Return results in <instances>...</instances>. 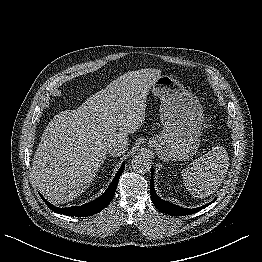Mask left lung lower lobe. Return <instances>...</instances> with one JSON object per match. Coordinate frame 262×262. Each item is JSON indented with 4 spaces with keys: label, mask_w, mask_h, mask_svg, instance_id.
Returning <instances> with one entry per match:
<instances>
[{
    "label": "left lung lower lobe",
    "mask_w": 262,
    "mask_h": 262,
    "mask_svg": "<svg viewBox=\"0 0 262 262\" xmlns=\"http://www.w3.org/2000/svg\"><path fill=\"white\" fill-rule=\"evenodd\" d=\"M152 175H151V179H150V191H151V200L154 204V206L159 209L160 211L171 215V216H186V215H191L193 213H196L202 209H204L205 207H207L208 205H210L212 202H214L215 200H213L212 202L203 205L201 207H197L194 209H186V208H182L180 206H177L175 204H172L170 202H167L163 199H161L157 194L156 191L154 189V182H153V168H152Z\"/></svg>",
    "instance_id": "1"
}]
</instances>
